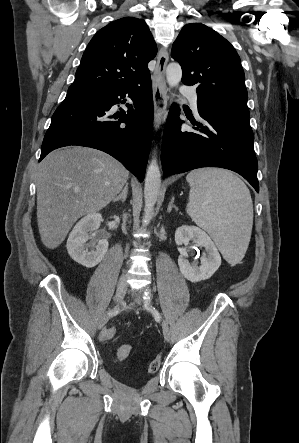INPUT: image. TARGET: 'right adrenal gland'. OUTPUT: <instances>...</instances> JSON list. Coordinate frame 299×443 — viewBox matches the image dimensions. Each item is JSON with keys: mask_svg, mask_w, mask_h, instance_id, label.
<instances>
[{"mask_svg": "<svg viewBox=\"0 0 299 443\" xmlns=\"http://www.w3.org/2000/svg\"><path fill=\"white\" fill-rule=\"evenodd\" d=\"M128 194V183L125 184L122 192L113 199V202L121 201L125 202Z\"/></svg>", "mask_w": 299, "mask_h": 443, "instance_id": "1", "label": "right adrenal gland"}]
</instances>
